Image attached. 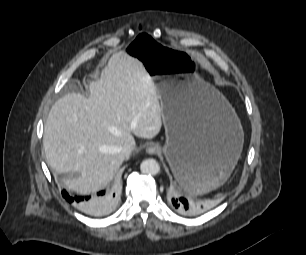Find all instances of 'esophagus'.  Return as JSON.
<instances>
[{
	"label": "esophagus",
	"mask_w": 306,
	"mask_h": 255,
	"mask_svg": "<svg viewBox=\"0 0 306 255\" xmlns=\"http://www.w3.org/2000/svg\"><path fill=\"white\" fill-rule=\"evenodd\" d=\"M146 152L150 155L157 154L159 152V147L156 144H149L146 147Z\"/></svg>",
	"instance_id": "1"
}]
</instances>
